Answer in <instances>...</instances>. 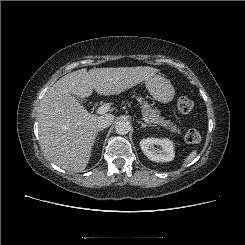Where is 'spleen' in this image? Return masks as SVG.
<instances>
[{"label": "spleen", "instance_id": "3e777b00", "mask_svg": "<svg viewBox=\"0 0 245 245\" xmlns=\"http://www.w3.org/2000/svg\"><path fill=\"white\" fill-rule=\"evenodd\" d=\"M197 155V150H192L184 159L183 161V165L188 164L189 162H191Z\"/></svg>", "mask_w": 245, "mask_h": 245}]
</instances>
